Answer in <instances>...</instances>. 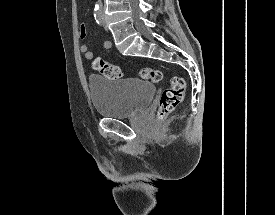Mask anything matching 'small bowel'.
Returning a JSON list of instances; mask_svg holds the SVG:
<instances>
[{
    "label": "small bowel",
    "instance_id": "c3829d8e",
    "mask_svg": "<svg viewBox=\"0 0 275 215\" xmlns=\"http://www.w3.org/2000/svg\"><path fill=\"white\" fill-rule=\"evenodd\" d=\"M87 36V29L86 26L84 24H82L79 27V31H78V37L80 39H84ZM112 43L111 41H105L103 43V48L104 49H109L111 48ZM79 52L87 59V60H92L94 58V53L86 46V45H81L79 47Z\"/></svg>",
    "mask_w": 275,
    "mask_h": 215
}]
</instances>
